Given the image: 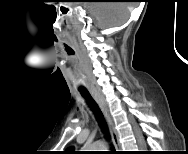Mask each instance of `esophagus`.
<instances>
[{
	"mask_svg": "<svg viewBox=\"0 0 188 154\" xmlns=\"http://www.w3.org/2000/svg\"><path fill=\"white\" fill-rule=\"evenodd\" d=\"M91 94L93 96V98L95 99V101L98 103V105L100 106L101 110L103 111L108 125H109V129H110V133H111V138L113 141V144L115 146L116 152L120 153L121 152V144L119 142V135L118 132L113 124V121L107 111V107L105 105L104 100L102 99V97L100 96V94L96 91V90H91Z\"/></svg>",
	"mask_w": 188,
	"mask_h": 154,
	"instance_id": "obj_1",
	"label": "esophagus"
}]
</instances>
